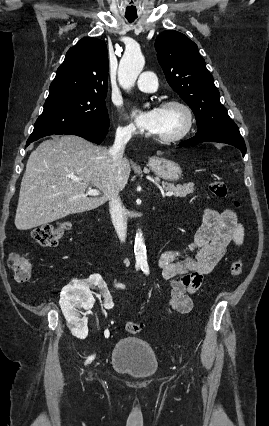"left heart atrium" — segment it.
I'll return each instance as SVG.
<instances>
[{
	"label": "left heart atrium",
	"mask_w": 269,
	"mask_h": 426,
	"mask_svg": "<svg viewBox=\"0 0 269 426\" xmlns=\"http://www.w3.org/2000/svg\"><path fill=\"white\" fill-rule=\"evenodd\" d=\"M161 108L154 107L149 110L136 108L133 110L132 116L136 125L146 131H153L159 121Z\"/></svg>",
	"instance_id": "left-heart-atrium-1"
}]
</instances>
